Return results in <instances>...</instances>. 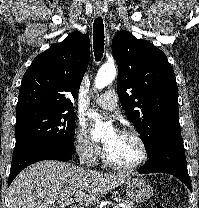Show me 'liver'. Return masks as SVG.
Instances as JSON below:
<instances>
[{
    "mask_svg": "<svg viewBox=\"0 0 199 208\" xmlns=\"http://www.w3.org/2000/svg\"><path fill=\"white\" fill-rule=\"evenodd\" d=\"M129 178L76 167L60 161H41L24 169L9 188L10 208H57L74 197L82 207L96 204Z\"/></svg>",
    "mask_w": 199,
    "mask_h": 208,
    "instance_id": "obj_1",
    "label": "liver"
}]
</instances>
